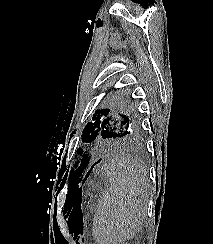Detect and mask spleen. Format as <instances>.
<instances>
[{
  "instance_id": "1",
  "label": "spleen",
  "mask_w": 213,
  "mask_h": 244,
  "mask_svg": "<svg viewBox=\"0 0 213 244\" xmlns=\"http://www.w3.org/2000/svg\"><path fill=\"white\" fill-rule=\"evenodd\" d=\"M108 187L102 192L93 219V236L100 244H120L142 229L149 181L131 160L114 158L103 165Z\"/></svg>"
}]
</instances>
